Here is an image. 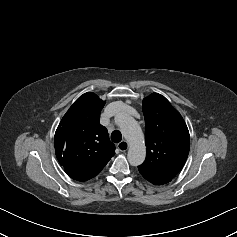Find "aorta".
I'll return each instance as SVG.
<instances>
[{
  "label": "aorta",
  "mask_w": 237,
  "mask_h": 237,
  "mask_svg": "<svg viewBox=\"0 0 237 237\" xmlns=\"http://www.w3.org/2000/svg\"><path fill=\"white\" fill-rule=\"evenodd\" d=\"M115 122L129 142L127 158L132 166L141 165L146 157L144 135L138 123L126 113L115 116Z\"/></svg>",
  "instance_id": "762f6f07"
}]
</instances>
